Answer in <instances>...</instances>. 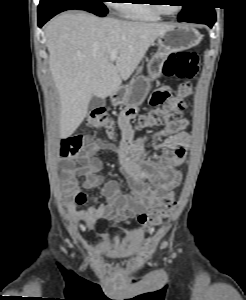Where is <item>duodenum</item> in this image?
I'll return each instance as SVG.
<instances>
[{"label": "duodenum", "instance_id": "duodenum-1", "mask_svg": "<svg viewBox=\"0 0 246 300\" xmlns=\"http://www.w3.org/2000/svg\"><path fill=\"white\" fill-rule=\"evenodd\" d=\"M115 94H116V95H119V94H120V90H117Z\"/></svg>", "mask_w": 246, "mask_h": 300}]
</instances>
